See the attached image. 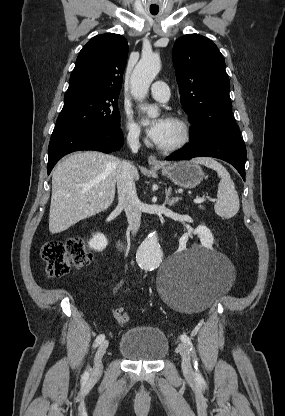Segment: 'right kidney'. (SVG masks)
<instances>
[{"mask_svg":"<svg viewBox=\"0 0 285 416\" xmlns=\"http://www.w3.org/2000/svg\"><path fill=\"white\" fill-rule=\"evenodd\" d=\"M89 248H92V250H97V252H102L106 246H108V240L105 238L104 234H100V232H97V234H94L93 238L89 240L88 242Z\"/></svg>","mask_w":285,"mask_h":416,"instance_id":"1","label":"right kidney"}]
</instances>
